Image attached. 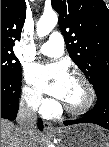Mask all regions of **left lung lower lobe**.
Masks as SVG:
<instances>
[{"mask_svg":"<svg viewBox=\"0 0 109 147\" xmlns=\"http://www.w3.org/2000/svg\"><path fill=\"white\" fill-rule=\"evenodd\" d=\"M94 89L97 94L94 108L78 120L64 121V125L93 123L109 130V79L102 80Z\"/></svg>","mask_w":109,"mask_h":147,"instance_id":"1","label":"left lung lower lobe"}]
</instances>
